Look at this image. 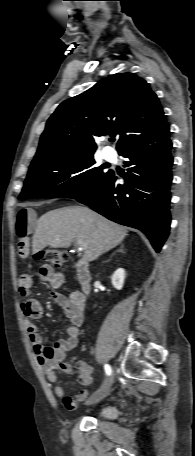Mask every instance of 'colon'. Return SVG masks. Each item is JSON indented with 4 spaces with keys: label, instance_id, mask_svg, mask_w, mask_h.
Here are the masks:
<instances>
[{
    "label": "colon",
    "instance_id": "1",
    "mask_svg": "<svg viewBox=\"0 0 195 456\" xmlns=\"http://www.w3.org/2000/svg\"><path fill=\"white\" fill-rule=\"evenodd\" d=\"M37 258L51 267L62 268L67 263L69 254L63 249L50 248L39 252ZM60 366L63 371H70V367L67 364H61Z\"/></svg>",
    "mask_w": 195,
    "mask_h": 456
}]
</instances>
